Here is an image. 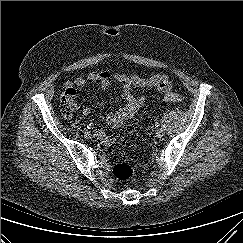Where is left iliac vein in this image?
<instances>
[{
  "instance_id": "obj_1",
  "label": "left iliac vein",
  "mask_w": 243,
  "mask_h": 243,
  "mask_svg": "<svg viewBox=\"0 0 243 243\" xmlns=\"http://www.w3.org/2000/svg\"><path fill=\"white\" fill-rule=\"evenodd\" d=\"M156 135H157V137L161 138L164 135V129L163 128H158L156 130Z\"/></svg>"
}]
</instances>
